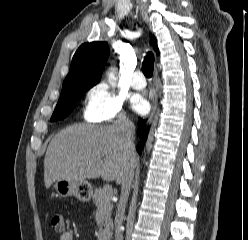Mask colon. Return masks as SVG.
<instances>
[{
    "label": "colon",
    "instance_id": "1",
    "mask_svg": "<svg viewBox=\"0 0 248 240\" xmlns=\"http://www.w3.org/2000/svg\"><path fill=\"white\" fill-rule=\"evenodd\" d=\"M49 225L54 231L61 233L64 231V218L61 214H53L49 219Z\"/></svg>",
    "mask_w": 248,
    "mask_h": 240
}]
</instances>
